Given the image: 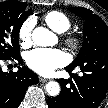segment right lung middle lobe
Here are the masks:
<instances>
[{
	"label": "right lung middle lobe",
	"instance_id": "dd1d6c3e",
	"mask_svg": "<svg viewBox=\"0 0 108 108\" xmlns=\"http://www.w3.org/2000/svg\"><path fill=\"white\" fill-rule=\"evenodd\" d=\"M30 13L26 3H0V58L10 59L19 55V31Z\"/></svg>",
	"mask_w": 108,
	"mask_h": 108
}]
</instances>
